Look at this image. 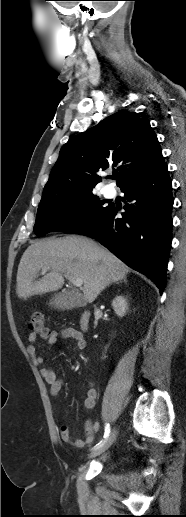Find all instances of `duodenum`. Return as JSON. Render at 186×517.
<instances>
[{
    "instance_id": "obj_1",
    "label": "duodenum",
    "mask_w": 186,
    "mask_h": 517,
    "mask_svg": "<svg viewBox=\"0 0 186 517\" xmlns=\"http://www.w3.org/2000/svg\"><path fill=\"white\" fill-rule=\"evenodd\" d=\"M90 324V313L84 312L80 318V326L83 330H87Z\"/></svg>"
}]
</instances>
